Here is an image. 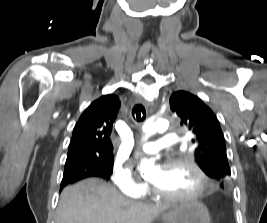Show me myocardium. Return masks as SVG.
Returning a JSON list of instances; mask_svg holds the SVG:
<instances>
[{
    "label": "myocardium",
    "instance_id": "1",
    "mask_svg": "<svg viewBox=\"0 0 267 223\" xmlns=\"http://www.w3.org/2000/svg\"><path fill=\"white\" fill-rule=\"evenodd\" d=\"M178 165H186L190 167L198 178V188L188 195H170L160 192L154 185L151 186V192L158 200L171 203H190L199 200L208 188V181L205 172L192 159L184 156H173L165 160L163 167H173Z\"/></svg>",
    "mask_w": 267,
    "mask_h": 223
}]
</instances>
